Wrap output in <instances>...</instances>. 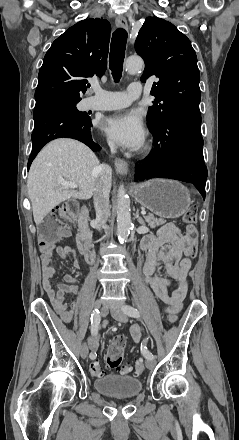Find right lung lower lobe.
<instances>
[{"instance_id":"obj_1","label":"right lung lower lobe","mask_w":239,"mask_h":440,"mask_svg":"<svg viewBox=\"0 0 239 440\" xmlns=\"http://www.w3.org/2000/svg\"><path fill=\"white\" fill-rule=\"evenodd\" d=\"M34 130L32 133V152L28 160V167L49 141L57 138H73L82 141L93 151L100 150L91 137L89 116H78L67 105L58 101L36 102L34 113Z\"/></svg>"}]
</instances>
